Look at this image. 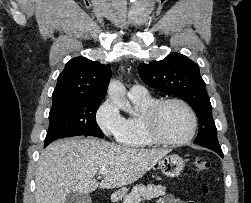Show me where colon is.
<instances>
[{
	"mask_svg": "<svg viewBox=\"0 0 251 203\" xmlns=\"http://www.w3.org/2000/svg\"><path fill=\"white\" fill-rule=\"evenodd\" d=\"M194 164H195L196 170L199 171V172L207 171L210 168L209 160L204 158V157L195 158ZM203 190H204V192L208 191V185L207 184L203 185Z\"/></svg>",
	"mask_w": 251,
	"mask_h": 203,
	"instance_id": "1",
	"label": "colon"
}]
</instances>
